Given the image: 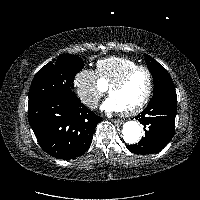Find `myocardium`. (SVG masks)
Returning <instances> with one entry per match:
<instances>
[{
  "label": "myocardium",
  "instance_id": "f54148a6",
  "mask_svg": "<svg viewBox=\"0 0 200 200\" xmlns=\"http://www.w3.org/2000/svg\"><path fill=\"white\" fill-rule=\"evenodd\" d=\"M139 71H144L148 77V87H147L146 94L144 95L143 99L134 107L129 108L127 110H121L120 113L123 116H131V115L137 114L148 104V102L152 96V92H153L152 72L147 67H144V66L135 67V68L127 71L118 80H116L114 83H112L108 88V94L111 95V93L114 90L121 88L134 74H136Z\"/></svg>",
  "mask_w": 200,
  "mask_h": 200
}]
</instances>
